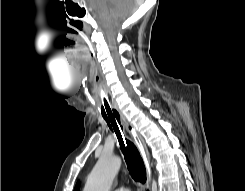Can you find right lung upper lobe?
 I'll use <instances>...</instances> for the list:
<instances>
[{"mask_svg":"<svg viewBox=\"0 0 245 191\" xmlns=\"http://www.w3.org/2000/svg\"><path fill=\"white\" fill-rule=\"evenodd\" d=\"M74 191H78V185L75 187Z\"/></svg>","mask_w":245,"mask_h":191,"instance_id":"obj_1","label":"right lung upper lobe"}]
</instances>
